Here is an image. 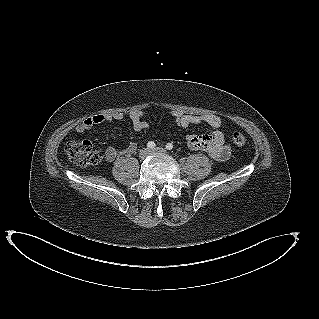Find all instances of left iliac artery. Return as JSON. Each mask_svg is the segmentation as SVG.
I'll return each instance as SVG.
<instances>
[{
	"instance_id": "1",
	"label": "left iliac artery",
	"mask_w": 319,
	"mask_h": 319,
	"mask_svg": "<svg viewBox=\"0 0 319 319\" xmlns=\"http://www.w3.org/2000/svg\"><path fill=\"white\" fill-rule=\"evenodd\" d=\"M166 149H167V150H172V149H173L172 143H167Z\"/></svg>"
}]
</instances>
